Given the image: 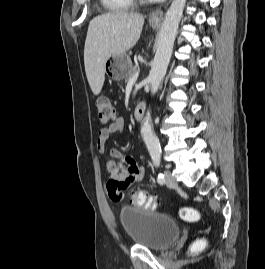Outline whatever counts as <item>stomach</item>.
Instances as JSON below:
<instances>
[{"instance_id": "0dacf381", "label": "stomach", "mask_w": 265, "mask_h": 269, "mask_svg": "<svg viewBox=\"0 0 265 269\" xmlns=\"http://www.w3.org/2000/svg\"><path fill=\"white\" fill-rule=\"evenodd\" d=\"M153 28L157 27V24H151ZM132 62L128 55L117 54L112 55L105 63L106 74L114 80H122L131 73Z\"/></svg>"}]
</instances>
